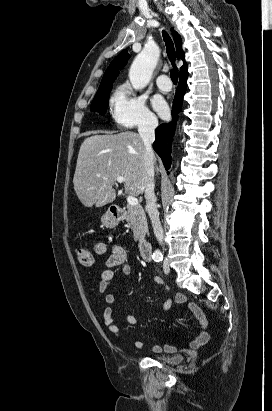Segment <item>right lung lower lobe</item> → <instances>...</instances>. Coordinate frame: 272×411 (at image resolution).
I'll use <instances>...</instances> for the list:
<instances>
[{
	"mask_svg": "<svg viewBox=\"0 0 272 411\" xmlns=\"http://www.w3.org/2000/svg\"><path fill=\"white\" fill-rule=\"evenodd\" d=\"M188 73L180 75L179 84L173 100L172 118L170 123H163L155 130L156 139L153 143V149L161 157L166 170L170 168L171 144L173 141L174 131L176 129L177 115L181 111L183 96L187 88Z\"/></svg>",
	"mask_w": 272,
	"mask_h": 411,
	"instance_id": "1",
	"label": "right lung lower lobe"
}]
</instances>
